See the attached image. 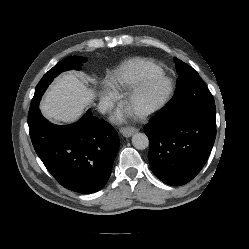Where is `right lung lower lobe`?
Listing matches in <instances>:
<instances>
[{
  "mask_svg": "<svg viewBox=\"0 0 249 249\" xmlns=\"http://www.w3.org/2000/svg\"><path fill=\"white\" fill-rule=\"evenodd\" d=\"M41 96L33 97L28 125L37 155L65 188L94 193L107 183L119 149L117 132L90 110L76 123L58 126L42 116Z\"/></svg>",
  "mask_w": 249,
  "mask_h": 249,
  "instance_id": "obj_1",
  "label": "right lung lower lobe"
}]
</instances>
